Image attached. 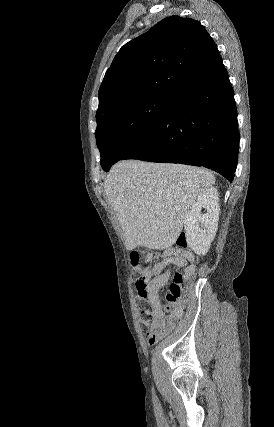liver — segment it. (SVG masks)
I'll list each match as a JSON object with an SVG mask.
<instances>
[{
	"label": "liver",
	"mask_w": 274,
	"mask_h": 427,
	"mask_svg": "<svg viewBox=\"0 0 274 427\" xmlns=\"http://www.w3.org/2000/svg\"><path fill=\"white\" fill-rule=\"evenodd\" d=\"M213 184L215 178L206 168L138 160L118 162L104 180L127 249L171 247L197 196Z\"/></svg>",
	"instance_id": "6515ba94"
}]
</instances>
